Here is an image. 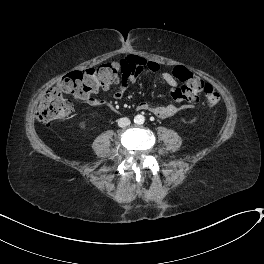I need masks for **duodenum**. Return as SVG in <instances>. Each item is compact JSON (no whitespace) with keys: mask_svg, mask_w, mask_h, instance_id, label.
Segmentation results:
<instances>
[{"mask_svg":"<svg viewBox=\"0 0 264 264\" xmlns=\"http://www.w3.org/2000/svg\"><path fill=\"white\" fill-rule=\"evenodd\" d=\"M110 110L112 111V112H114V113H118L119 111L118 110H116L114 107H112V106H110Z\"/></svg>","mask_w":264,"mask_h":264,"instance_id":"1","label":"duodenum"}]
</instances>
